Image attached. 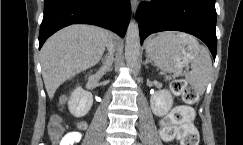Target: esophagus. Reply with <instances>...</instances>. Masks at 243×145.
<instances>
[{"instance_id":"obj_1","label":"esophagus","mask_w":243,"mask_h":145,"mask_svg":"<svg viewBox=\"0 0 243 145\" xmlns=\"http://www.w3.org/2000/svg\"><path fill=\"white\" fill-rule=\"evenodd\" d=\"M131 7H132L133 13H135L136 10H137V7H138V1L137 0H131Z\"/></svg>"}]
</instances>
